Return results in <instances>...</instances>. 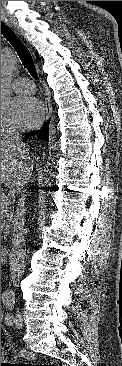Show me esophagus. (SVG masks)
I'll list each match as a JSON object with an SVG mask.
<instances>
[{
  "label": "esophagus",
  "mask_w": 122,
  "mask_h": 366,
  "mask_svg": "<svg viewBox=\"0 0 122 366\" xmlns=\"http://www.w3.org/2000/svg\"><path fill=\"white\" fill-rule=\"evenodd\" d=\"M1 20H3L7 25H9L11 28H13L15 31H17V29L14 27L13 23L6 16L1 15ZM44 106H45L46 120H48L52 114V105H51L50 97L48 96V94H46V96H45V105Z\"/></svg>",
  "instance_id": "1"
}]
</instances>
